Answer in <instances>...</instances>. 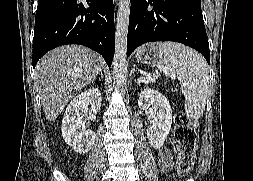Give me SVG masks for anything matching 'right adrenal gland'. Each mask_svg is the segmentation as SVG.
I'll list each match as a JSON object with an SVG mask.
<instances>
[{
	"instance_id": "2a0ac1e0",
	"label": "right adrenal gland",
	"mask_w": 253,
	"mask_h": 181,
	"mask_svg": "<svg viewBox=\"0 0 253 181\" xmlns=\"http://www.w3.org/2000/svg\"><path fill=\"white\" fill-rule=\"evenodd\" d=\"M99 74L101 75L102 78L104 77L102 69L100 70Z\"/></svg>"
}]
</instances>
